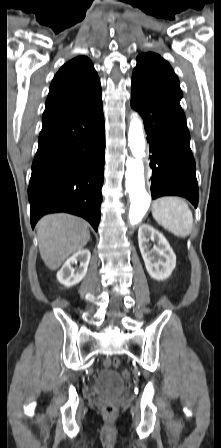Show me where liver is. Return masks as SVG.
Here are the masks:
<instances>
[{
    "label": "liver",
    "instance_id": "1",
    "mask_svg": "<svg viewBox=\"0 0 221 448\" xmlns=\"http://www.w3.org/2000/svg\"><path fill=\"white\" fill-rule=\"evenodd\" d=\"M37 235L41 258L50 270L58 269L90 239L87 223L64 213L44 216L37 224Z\"/></svg>",
    "mask_w": 221,
    "mask_h": 448
}]
</instances>
